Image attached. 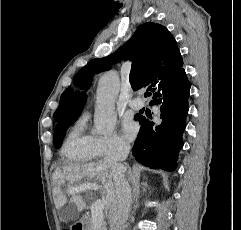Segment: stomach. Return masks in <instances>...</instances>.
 I'll return each mask as SVG.
<instances>
[{
  "instance_id": "obj_1",
  "label": "stomach",
  "mask_w": 241,
  "mask_h": 230,
  "mask_svg": "<svg viewBox=\"0 0 241 230\" xmlns=\"http://www.w3.org/2000/svg\"><path fill=\"white\" fill-rule=\"evenodd\" d=\"M76 226H78L80 230H90V226L87 222L86 218L80 219L77 223Z\"/></svg>"
}]
</instances>
